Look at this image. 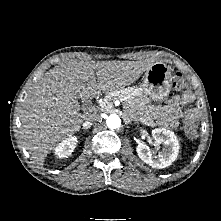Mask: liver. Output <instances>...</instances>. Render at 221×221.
<instances>
[{
  "label": "liver",
  "mask_w": 221,
  "mask_h": 221,
  "mask_svg": "<svg viewBox=\"0 0 221 221\" xmlns=\"http://www.w3.org/2000/svg\"><path fill=\"white\" fill-rule=\"evenodd\" d=\"M153 63L69 60L50 69L33 86L20 113L21 138L38 165L84 121L78 99L88 100L135 82ZM96 75V76H95Z\"/></svg>",
  "instance_id": "1"
}]
</instances>
